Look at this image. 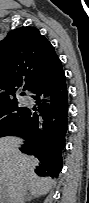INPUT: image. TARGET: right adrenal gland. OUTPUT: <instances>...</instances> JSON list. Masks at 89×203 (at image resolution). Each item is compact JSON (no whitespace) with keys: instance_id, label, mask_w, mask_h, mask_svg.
<instances>
[{"instance_id":"2a0ac1e0","label":"right adrenal gland","mask_w":89,"mask_h":203,"mask_svg":"<svg viewBox=\"0 0 89 203\" xmlns=\"http://www.w3.org/2000/svg\"><path fill=\"white\" fill-rule=\"evenodd\" d=\"M35 198V196L31 193H26L25 195V203L26 202H30L31 200H33Z\"/></svg>"}]
</instances>
